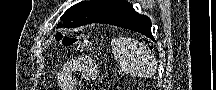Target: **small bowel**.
I'll return each mask as SVG.
<instances>
[{
	"label": "small bowel",
	"instance_id": "1",
	"mask_svg": "<svg viewBox=\"0 0 216 90\" xmlns=\"http://www.w3.org/2000/svg\"><path fill=\"white\" fill-rule=\"evenodd\" d=\"M80 72L85 80H95L98 77L97 66L92 62L67 63L58 74V84L60 90H77V80L74 76Z\"/></svg>",
	"mask_w": 216,
	"mask_h": 90
}]
</instances>
